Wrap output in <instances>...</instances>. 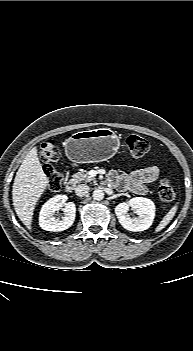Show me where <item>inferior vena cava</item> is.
<instances>
[{
    "mask_svg": "<svg viewBox=\"0 0 193 351\" xmlns=\"http://www.w3.org/2000/svg\"><path fill=\"white\" fill-rule=\"evenodd\" d=\"M90 188L86 184H80L75 188V193L79 197L85 196L89 192Z\"/></svg>",
    "mask_w": 193,
    "mask_h": 351,
    "instance_id": "obj_1",
    "label": "inferior vena cava"
}]
</instances>
